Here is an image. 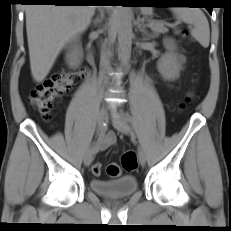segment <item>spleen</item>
<instances>
[{
	"mask_svg": "<svg viewBox=\"0 0 231 231\" xmlns=\"http://www.w3.org/2000/svg\"><path fill=\"white\" fill-rule=\"evenodd\" d=\"M171 9L179 20L194 26L191 29L192 36L207 48L210 42V29L204 13L198 8L173 7Z\"/></svg>",
	"mask_w": 231,
	"mask_h": 231,
	"instance_id": "3e777b00",
	"label": "spleen"
}]
</instances>
